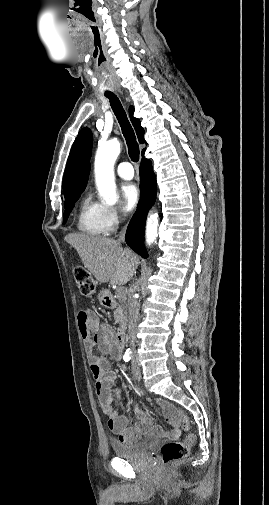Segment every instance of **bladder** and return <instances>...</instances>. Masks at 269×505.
I'll use <instances>...</instances> for the list:
<instances>
[{
	"label": "bladder",
	"instance_id": "obj_1",
	"mask_svg": "<svg viewBox=\"0 0 269 505\" xmlns=\"http://www.w3.org/2000/svg\"><path fill=\"white\" fill-rule=\"evenodd\" d=\"M156 441V438L153 436H145L134 443L112 441L111 445L115 456L124 459L138 460L156 444Z\"/></svg>",
	"mask_w": 269,
	"mask_h": 505
}]
</instances>
